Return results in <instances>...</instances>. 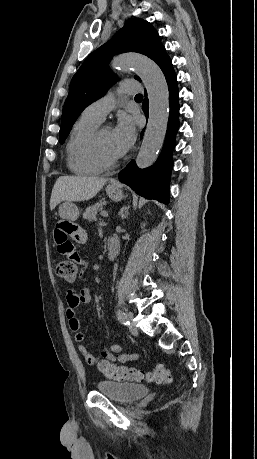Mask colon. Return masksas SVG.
Returning <instances> with one entry per match:
<instances>
[{"label":"colon","instance_id":"colon-1","mask_svg":"<svg viewBox=\"0 0 257 459\" xmlns=\"http://www.w3.org/2000/svg\"><path fill=\"white\" fill-rule=\"evenodd\" d=\"M77 265L78 264H69V262L65 260L59 261L55 265V273L59 278L68 282L74 281L77 276ZM98 368L106 377L116 380H147L162 384L169 383L171 381L170 370L162 363L157 364L153 370L145 372L134 368L116 366L106 360H99Z\"/></svg>","mask_w":257,"mask_h":459}]
</instances>
